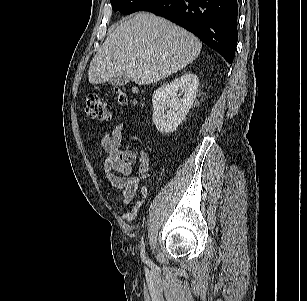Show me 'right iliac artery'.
Masks as SVG:
<instances>
[{"mask_svg":"<svg viewBox=\"0 0 307 301\" xmlns=\"http://www.w3.org/2000/svg\"><path fill=\"white\" fill-rule=\"evenodd\" d=\"M141 257H142V260L145 263H150V260L145 255L144 244H143L142 249H141Z\"/></svg>","mask_w":307,"mask_h":301,"instance_id":"obj_1","label":"right iliac artery"}]
</instances>
